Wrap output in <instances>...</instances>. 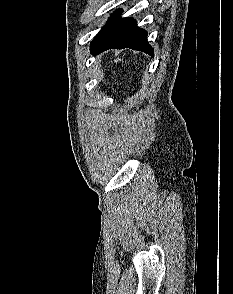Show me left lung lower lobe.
<instances>
[{"mask_svg": "<svg viewBox=\"0 0 233 294\" xmlns=\"http://www.w3.org/2000/svg\"><path fill=\"white\" fill-rule=\"evenodd\" d=\"M121 12L118 10L114 13L110 17V22L93 39L90 46L91 53L131 48L153 56L154 50L147 43V32L138 28L133 18H118Z\"/></svg>", "mask_w": 233, "mask_h": 294, "instance_id": "1", "label": "left lung lower lobe"}]
</instances>
